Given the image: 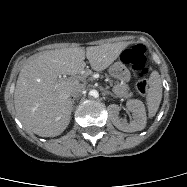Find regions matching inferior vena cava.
Wrapping results in <instances>:
<instances>
[{
	"mask_svg": "<svg viewBox=\"0 0 187 187\" xmlns=\"http://www.w3.org/2000/svg\"><path fill=\"white\" fill-rule=\"evenodd\" d=\"M84 90L82 84H76L71 90V96L77 97Z\"/></svg>",
	"mask_w": 187,
	"mask_h": 187,
	"instance_id": "602c4592",
	"label": "inferior vena cava"
}]
</instances>
